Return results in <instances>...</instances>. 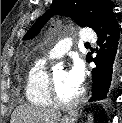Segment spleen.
Listing matches in <instances>:
<instances>
[{
  "label": "spleen",
  "instance_id": "3e777b00",
  "mask_svg": "<svg viewBox=\"0 0 122 123\" xmlns=\"http://www.w3.org/2000/svg\"><path fill=\"white\" fill-rule=\"evenodd\" d=\"M88 120H89V121H88L89 123H92V122H93V118L91 117V115H89Z\"/></svg>",
  "mask_w": 122,
  "mask_h": 123
}]
</instances>
